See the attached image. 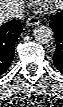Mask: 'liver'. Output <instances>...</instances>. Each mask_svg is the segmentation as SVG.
I'll use <instances>...</instances> for the list:
<instances>
[{
	"label": "liver",
	"mask_w": 63,
	"mask_h": 107,
	"mask_svg": "<svg viewBox=\"0 0 63 107\" xmlns=\"http://www.w3.org/2000/svg\"><path fill=\"white\" fill-rule=\"evenodd\" d=\"M1 1H2V0H1ZM4 21H6V20H3V19L0 18V22H1V23H3Z\"/></svg>",
	"instance_id": "6515ba94"
}]
</instances>
